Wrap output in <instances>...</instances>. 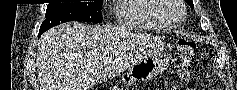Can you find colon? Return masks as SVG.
<instances>
[{
    "label": "colon",
    "instance_id": "1",
    "mask_svg": "<svg viewBox=\"0 0 237 90\" xmlns=\"http://www.w3.org/2000/svg\"><path fill=\"white\" fill-rule=\"evenodd\" d=\"M195 49L196 43L191 40H180L177 44L178 73L183 80L190 76Z\"/></svg>",
    "mask_w": 237,
    "mask_h": 90
}]
</instances>
